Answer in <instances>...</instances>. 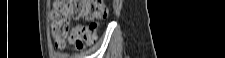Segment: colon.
<instances>
[{"instance_id":"obj_1","label":"colon","mask_w":225,"mask_h":58,"mask_svg":"<svg viewBox=\"0 0 225 58\" xmlns=\"http://www.w3.org/2000/svg\"><path fill=\"white\" fill-rule=\"evenodd\" d=\"M103 0H59L51 12V32L55 44L63 46L70 36L78 49L95 41L98 22L107 17ZM84 18L89 25L70 30V20Z\"/></svg>"}]
</instances>
